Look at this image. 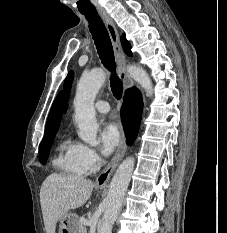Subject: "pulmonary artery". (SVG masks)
<instances>
[{"label": "pulmonary artery", "instance_id": "pulmonary-artery-1", "mask_svg": "<svg viewBox=\"0 0 227 233\" xmlns=\"http://www.w3.org/2000/svg\"><path fill=\"white\" fill-rule=\"evenodd\" d=\"M95 108L97 112L101 114H107L110 111L108 102L102 100L96 102Z\"/></svg>", "mask_w": 227, "mask_h": 233}]
</instances>
